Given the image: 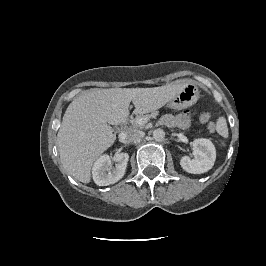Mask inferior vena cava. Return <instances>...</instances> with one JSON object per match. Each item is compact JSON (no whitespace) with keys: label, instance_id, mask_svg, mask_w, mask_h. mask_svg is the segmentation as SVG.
Here are the masks:
<instances>
[{"label":"inferior vena cava","instance_id":"obj_1","mask_svg":"<svg viewBox=\"0 0 266 266\" xmlns=\"http://www.w3.org/2000/svg\"><path fill=\"white\" fill-rule=\"evenodd\" d=\"M144 135L145 133L143 131L130 129L123 134V141L128 143L135 142L141 140Z\"/></svg>","mask_w":266,"mask_h":266}]
</instances>
